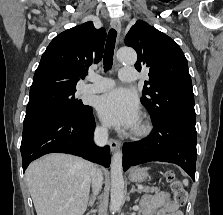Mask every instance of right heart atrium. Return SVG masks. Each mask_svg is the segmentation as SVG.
<instances>
[{
    "mask_svg": "<svg viewBox=\"0 0 223 215\" xmlns=\"http://www.w3.org/2000/svg\"><path fill=\"white\" fill-rule=\"evenodd\" d=\"M97 130H98V132H100V133L105 132V128L102 127V126L98 127Z\"/></svg>",
    "mask_w": 223,
    "mask_h": 215,
    "instance_id": "obj_1",
    "label": "right heart atrium"
}]
</instances>
